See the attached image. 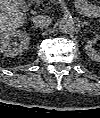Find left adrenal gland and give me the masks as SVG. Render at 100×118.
<instances>
[{
	"label": "left adrenal gland",
	"mask_w": 100,
	"mask_h": 118,
	"mask_svg": "<svg viewBox=\"0 0 100 118\" xmlns=\"http://www.w3.org/2000/svg\"><path fill=\"white\" fill-rule=\"evenodd\" d=\"M79 24H80L81 27H84L86 25H89V23L86 22V21H81Z\"/></svg>",
	"instance_id": "a2214340"
}]
</instances>
